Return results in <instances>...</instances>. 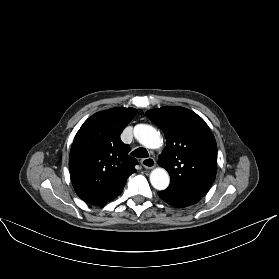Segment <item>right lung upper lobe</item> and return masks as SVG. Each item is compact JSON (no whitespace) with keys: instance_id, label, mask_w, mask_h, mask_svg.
I'll list each match as a JSON object with an SVG mask.
<instances>
[{"instance_id":"right-lung-upper-lobe-1","label":"right lung upper lobe","mask_w":279,"mask_h":279,"mask_svg":"<svg viewBox=\"0 0 279 279\" xmlns=\"http://www.w3.org/2000/svg\"><path fill=\"white\" fill-rule=\"evenodd\" d=\"M134 108H112L91 116L77 132L69 155V170L77 195L86 203L101 206L123 191L127 178L136 172V159L120 134L136 115Z\"/></svg>"}]
</instances>
